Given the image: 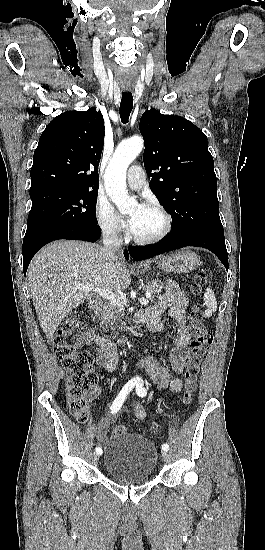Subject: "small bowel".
Segmentation results:
<instances>
[{
	"instance_id": "1",
	"label": "small bowel",
	"mask_w": 265,
	"mask_h": 550,
	"mask_svg": "<svg viewBox=\"0 0 265 550\" xmlns=\"http://www.w3.org/2000/svg\"><path fill=\"white\" fill-rule=\"evenodd\" d=\"M188 304L187 296L172 281H168L164 294L151 307L141 311L139 319L144 321L148 329L153 333H161L164 329L162 321L163 314L168 311L175 322V335L173 338V349L170 354V363L175 373L183 372L185 362L189 356V344L191 335L186 328L185 308ZM79 346H94L98 350L97 360L99 365L106 371L112 372L117 369L119 356L113 343L98 335L93 329H88L75 338ZM139 368L147 374L150 380L158 389L170 386L173 392H180L183 388V381L179 377L171 378L169 370L163 366L155 357L148 356L141 360ZM135 414L138 419H144L146 413L138 403L135 407ZM116 418L115 413L107 414L97 427V439L102 441L108 425Z\"/></svg>"
}]
</instances>
